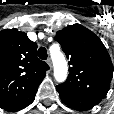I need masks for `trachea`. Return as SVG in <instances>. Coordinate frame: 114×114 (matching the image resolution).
<instances>
[{
    "instance_id": "1",
    "label": "trachea",
    "mask_w": 114,
    "mask_h": 114,
    "mask_svg": "<svg viewBox=\"0 0 114 114\" xmlns=\"http://www.w3.org/2000/svg\"><path fill=\"white\" fill-rule=\"evenodd\" d=\"M37 54H38V57H39L40 59H42V60H46V59H47V50H46V48L40 47V48L38 49Z\"/></svg>"
}]
</instances>
